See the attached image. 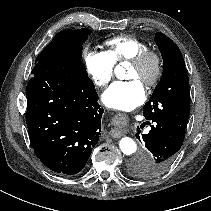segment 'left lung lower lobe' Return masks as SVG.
<instances>
[{
  "label": "left lung lower lobe",
  "instance_id": "0a47b994",
  "mask_svg": "<svg viewBox=\"0 0 211 211\" xmlns=\"http://www.w3.org/2000/svg\"><path fill=\"white\" fill-rule=\"evenodd\" d=\"M146 124L151 125L149 133L140 135L137 130L136 138L148 149L150 157L134 158L130 162V169L138 177L153 178L165 172L173 163L183 144L185 129L166 119H154L146 121Z\"/></svg>",
  "mask_w": 211,
  "mask_h": 211
}]
</instances>
